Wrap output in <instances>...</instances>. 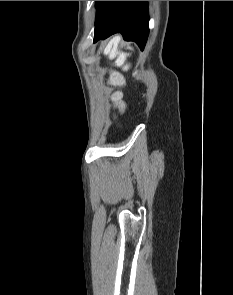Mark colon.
I'll use <instances>...</instances> for the list:
<instances>
[{
  "label": "colon",
  "mask_w": 233,
  "mask_h": 295,
  "mask_svg": "<svg viewBox=\"0 0 233 295\" xmlns=\"http://www.w3.org/2000/svg\"><path fill=\"white\" fill-rule=\"evenodd\" d=\"M118 39L111 40L105 47V53L113 60L116 61V63H121L123 60L122 54L118 51ZM111 82L113 84H119L120 80L117 77L112 78Z\"/></svg>",
  "instance_id": "obj_1"
}]
</instances>
